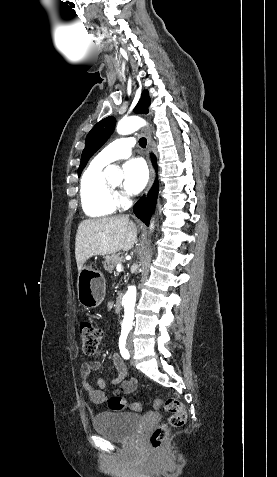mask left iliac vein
I'll return each mask as SVG.
<instances>
[{"instance_id":"obj_1","label":"left iliac vein","mask_w":277,"mask_h":477,"mask_svg":"<svg viewBox=\"0 0 277 477\" xmlns=\"http://www.w3.org/2000/svg\"><path fill=\"white\" fill-rule=\"evenodd\" d=\"M128 348H129L130 353L133 354V348H132V343H131L130 338L128 339Z\"/></svg>"}]
</instances>
